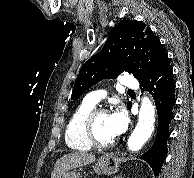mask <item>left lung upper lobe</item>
I'll list each match as a JSON object with an SVG mask.
<instances>
[{"mask_svg":"<svg viewBox=\"0 0 194 178\" xmlns=\"http://www.w3.org/2000/svg\"><path fill=\"white\" fill-rule=\"evenodd\" d=\"M166 56L163 45L150 28L136 20H124L110 31L102 51L82 66L71 98L78 99L92 85L104 78L115 79L124 71L140 81Z\"/></svg>","mask_w":194,"mask_h":178,"instance_id":"5c2ea615","label":"left lung upper lobe"}]
</instances>
